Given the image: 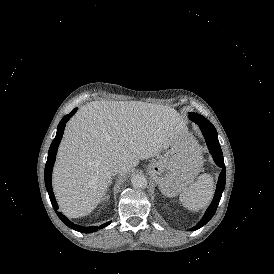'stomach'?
Listing matches in <instances>:
<instances>
[{"mask_svg": "<svg viewBox=\"0 0 274 274\" xmlns=\"http://www.w3.org/2000/svg\"><path fill=\"white\" fill-rule=\"evenodd\" d=\"M161 156L150 162L147 172L164 195L175 197L185 190L201 168L200 150L185 132L173 133Z\"/></svg>", "mask_w": 274, "mask_h": 274, "instance_id": "0dacf381", "label": "stomach"}]
</instances>
